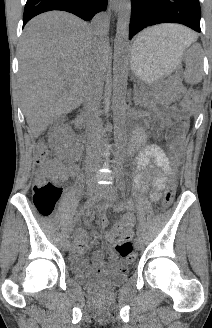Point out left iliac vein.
Instances as JSON below:
<instances>
[{
    "instance_id": "obj_1",
    "label": "left iliac vein",
    "mask_w": 212,
    "mask_h": 328,
    "mask_svg": "<svg viewBox=\"0 0 212 328\" xmlns=\"http://www.w3.org/2000/svg\"><path fill=\"white\" fill-rule=\"evenodd\" d=\"M99 194L106 197L110 201H115L116 197H117L116 189L112 185H107V186L99 188ZM134 247L137 250H140L142 248V239L140 237L135 238Z\"/></svg>"
}]
</instances>
